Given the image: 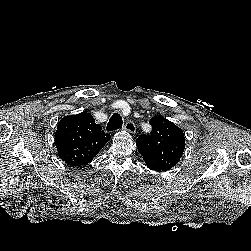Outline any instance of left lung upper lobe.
Here are the masks:
<instances>
[{"mask_svg":"<svg viewBox=\"0 0 251 251\" xmlns=\"http://www.w3.org/2000/svg\"><path fill=\"white\" fill-rule=\"evenodd\" d=\"M149 123L152 131L136 139V145L150 170L164 172L174 167L185 149L182 129L161 115H156Z\"/></svg>","mask_w":251,"mask_h":251,"instance_id":"5c2ea615","label":"left lung upper lobe"}]
</instances>
